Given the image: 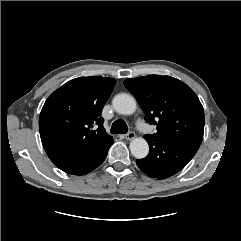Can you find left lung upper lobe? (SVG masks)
<instances>
[{
	"label": "left lung upper lobe",
	"instance_id": "left-lung-upper-lobe-1",
	"mask_svg": "<svg viewBox=\"0 0 241 241\" xmlns=\"http://www.w3.org/2000/svg\"><path fill=\"white\" fill-rule=\"evenodd\" d=\"M124 84L137 99L145 119L157 126V132L150 136L201 144L204 110L189 86L176 78L160 75L129 78Z\"/></svg>",
	"mask_w": 241,
	"mask_h": 241
}]
</instances>
